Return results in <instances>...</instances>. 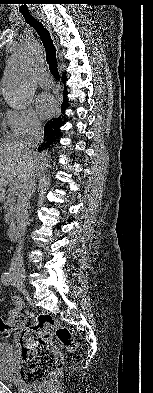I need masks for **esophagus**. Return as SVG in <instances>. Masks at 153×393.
I'll list each match as a JSON object with an SVG mask.
<instances>
[{
    "mask_svg": "<svg viewBox=\"0 0 153 393\" xmlns=\"http://www.w3.org/2000/svg\"><path fill=\"white\" fill-rule=\"evenodd\" d=\"M41 21H42V20H41ZM42 23H43V24L46 26V28L49 30V32H50V34H51V37H52V40L54 41V43L57 44V37H56L55 34L53 33L51 26H50L48 23H46L45 21H42Z\"/></svg>",
    "mask_w": 153,
    "mask_h": 393,
    "instance_id": "esophagus-1",
    "label": "esophagus"
}]
</instances>
